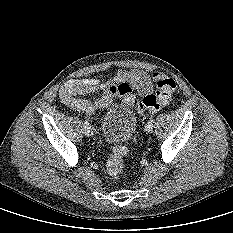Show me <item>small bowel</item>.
Listing matches in <instances>:
<instances>
[{
    "instance_id": "obj_1",
    "label": "small bowel",
    "mask_w": 233,
    "mask_h": 233,
    "mask_svg": "<svg viewBox=\"0 0 233 233\" xmlns=\"http://www.w3.org/2000/svg\"><path fill=\"white\" fill-rule=\"evenodd\" d=\"M123 87L131 92L136 90L140 96H147L153 90V83L151 77L142 70H119L109 81L98 78L70 80L61 87L59 95L63 103L72 110L93 113L107 105L112 98L124 97ZM97 91H100V95L93 100L80 98Z\"/></svg>"
}]
</instances>
